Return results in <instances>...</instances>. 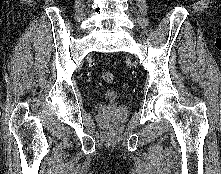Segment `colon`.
<instances>
[{"label": "colon", "mask_w": 221, "mask_h": 174, "mask_svg": "<svg viewBox=\"0 0 221 174\" xmlns=\"http://www.w3.org/2000/svg\"><path fill=\"white\" fill-rule=\"evenodd\" d=\"M102 80L107 83V84H111L114 82L115 76L112 72L110 71H104L101 75Z\"/></svg>", "instance_id": "colon-1"}]
</instances>
